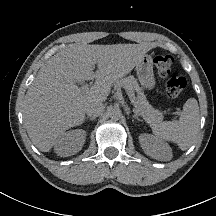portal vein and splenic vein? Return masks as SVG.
Returning a JSON list of instances; mask_svg holds the SVG:
<instances>
[{
	"label": "portal vein and splenic vein",
	"instance_id": "obj_1",
	"mask_svg": "<svg viewBox=\"0 0 216 216\" xmlns=\"http://www.w3.org/2000/svg\"><path fill=\"white\" fill-rule=\"evenodd\" d=\"M90 84H91V83H90ZM88 88H89V85H88V84H84V85L81 86L80 89L84 90V89H88ZM127 94H128V96H129L131 102L135 105V99H134L133 94H132L131 92H129V91H127ZM135 106H136V105H135ZM178 115H179V113H178Z\"/></svg>",
	"mask_w": 216,
	"mask_h": 216
}]
</instances>
